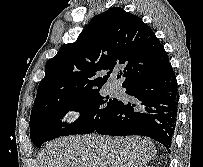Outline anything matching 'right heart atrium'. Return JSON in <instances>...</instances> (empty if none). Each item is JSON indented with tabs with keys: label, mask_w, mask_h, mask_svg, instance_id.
<instances>
[{
	"label": "right heart atrium",
	"mask_w": 203,
	"mask_h": 167,
	"mask_svg": "<svg viewBox=\"0 0 203 167\" xmlns=\"http://www.w3.org/2000/svg\"><path fill=\"white\" fill-rule=\"evenodd\" d=\"M81 116V110L75 107L69 108L64 112V120L68 123L75 122Z\"/></svg>",
	"instance_id": "1"
}]
</instances>
